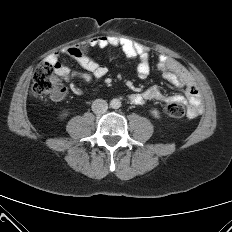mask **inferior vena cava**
Instances as JSON below:
<instances>
[{
  "mask_svg": "<svg viewBox=\"0 0 232 232\" xmlns=\"http://www.w3.org/2000/svg\"><path fill=\"white\" fill-rule=\"evenodd\" d=\"M107 109H108V104L103 99H96L92 103V111L95 114H103V113H105L107 111Z\"/></svg>",
  "mask_w": 232,
  "mask_h": 232,
  "instance_id": "obj_1",
  "label": "inferior vena cava"
}]
</instances>
